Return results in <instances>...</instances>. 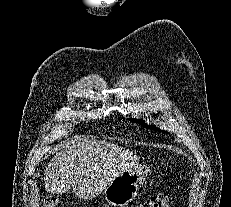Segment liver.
<instances>
[{
    "mask_svg": "<svg viewBox=\"0 0 231 207\" xmlns=\"http://www.w3.org/2000/svg\"><path fill=\"white\" fill-rule=\"evenodd\" d=\"M64 148L47 164L44 185L48 193L73 189L79 198L91 199L124 170L138 168L136 155L108 142L75 138Z\"/></svg>",
    "mask_w": 231,
    "mask_h": 207,
    "instance_id": "6515ba94",
    "label": "liver"
}]
</instances>
